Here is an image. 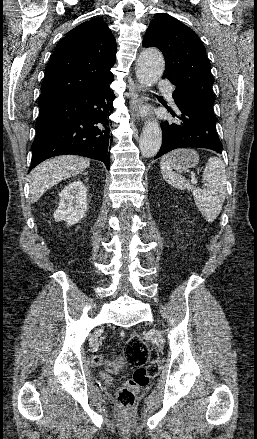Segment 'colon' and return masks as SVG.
Segmentation results:
<instances>
[{
	"mask_svg": "<svg viewBox=\"0 0 257 439\" xmlns=\"http://www.w3.org/2000/svg\"><path fill=\"white\" fill-rule=\"evenodd\" d=\"M94 365H100L102 358L94 356ZM159 356L152 350L139 335L133 333L128 336L122 354L118 359L109 365V369L120 374L126 365L136 367L133 377L127 380L122 387L117 390V403L123 408H131L136 401L135 392L145 387L158 374Z\"/></svg>",
	"mask_w": 257,
	"mask_h": 439,
	"instance_id": "colon-1",
	"label": "colon"
}]
</instances>
